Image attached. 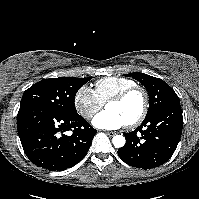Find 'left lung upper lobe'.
<instances>
[{
    "mask_svg": "<svg viewBox=\"0 0 199 199\" xmlns=\"http://www.w3.org/2000/svg\"><path fill=\"white\" fill-rule=\"evenodd\" d=\"M138 80L146 88L150 102L146 117L153 115L155 112L169 105L180 104L179 97L174 90L163 80L139 72L126 74Z\"/></svg>",
    "mask_w": 199,
    "mask_h": 199,
    "instance_id": "1",
    "label": "left lung upper lobe"
}]
</instances>
